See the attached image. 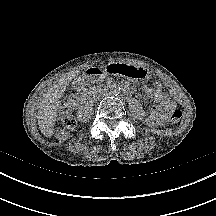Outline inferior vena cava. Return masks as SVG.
Instances as JSON below:
<instances>
[{"label":"inferior vena cava","mask_w":216,"mask_h":216,"mask_svg":"<svg viewBox=\"0 0 216 216\" xmlns=\"http://www.w3.org/2000/svg\"><path fill=\"white\" fill-rule=\"evenodd\" d=\"M106 96V93H102V94H100L98 97H97V99L99 100V99H101V98H104Z\"/></svg>","instance_id":"602c4592"}]
</instances>
